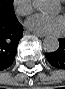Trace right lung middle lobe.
Wrapping results in <instances>:
<instances>
[{
    "instance_id": "obj_1",
    "label": "right lung middle lobe",
    "mask_w": 65,
    "mask_h": 89,
    "mask_svg": "<svg viewBox=\"0 0 65 89\" xmlns=\"http://www.w3.org/2000/svg\"><path fill=\"white\" fill-rule=\"evenodd\" d=\"M0 19H17L13 8V0H0Z\"/></svg>"
}]
</instances>
